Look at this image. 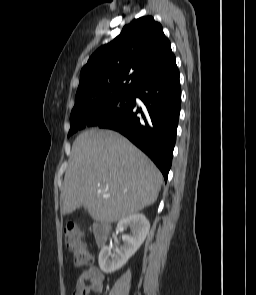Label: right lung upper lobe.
Listing matches in <instances>:
<instances>
[{"label": "right lung upper lobe", "mask_w": 256, "mask_h": 295, "mask_svg": "<svg viewBox=\"0 0 256 295\" xmlns=\"http://www.w3.org/2000/svg\"><path fill=\"white\" fill-rule=\"evenodd\" d=\"M173 56L162 26L153 17L135 19L91 55L81 70L75 101L135 92Z\"/></svg>", "instance_id": "1"}]
</instances>
